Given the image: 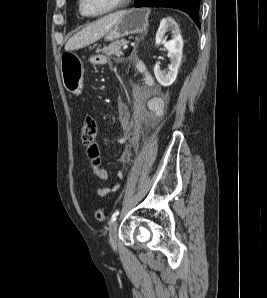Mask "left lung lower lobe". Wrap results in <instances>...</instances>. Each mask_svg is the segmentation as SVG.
<instances>
[{
  "mask_svg": "<svg viewBox=\"0 0 267 298\" xmlns=\"http://www.w3.org/2000/svg\"><path fill=\"white\" fill-rule=\"evenodd\" d=\"M199 3L200 0H135V7H167L179 9L193 19L200 27L199 19Z\"/></svg>",
  "mask_w": 267,
  "mask_h": 298,
  "instance_id": "obj_1",
  "label": "left lung lower lobe"
}]
</instances>
